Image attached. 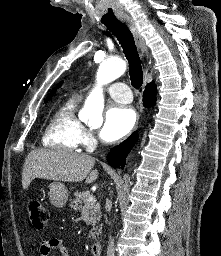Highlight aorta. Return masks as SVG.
I'll return each mask as SVG.
<instances>
[{"mask_svg":"<svg viewBox=\"0 0 221 256\" xmlns=\"http://www.w3.org/2000/svg\"><path fill=\"white\" fill-rule=\"evenodd\" d=\"M125 71L126 63L122 59H108L100 64L96 76L97 86L87 97L84 107L80 111L81 117L89 119V121L93 119L101 120L104 108L102 86L119 78Z\"/></svg>","mask_w":221,"mask_h":256,"instance_id":"1","label":"aorta"}]
</instances>
